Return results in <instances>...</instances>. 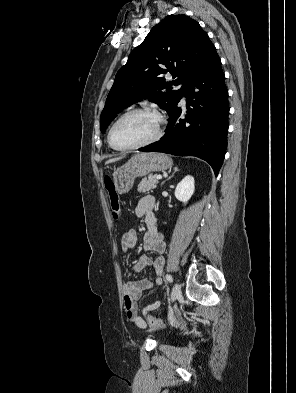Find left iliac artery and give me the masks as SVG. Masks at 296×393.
Returning a JSON list of instances; mask_svg holds the SVG:
<instances>
[{"label":"left iliac artery","instance_id":"1","mask_svg":"<svg viewBox=\"0 0 296 393\" xmlns=\"http://www.w3.org/2000/svg\"><path fill=\"white\" fill-rule=\"evenodd\" d=\"M165 277H166L167 281H169L170 283L173 282V278H172V276L170 274H166Z\"/></svg>","mask_w":296,"mask_h":393}]
</instances>
